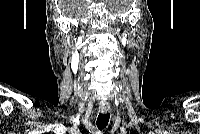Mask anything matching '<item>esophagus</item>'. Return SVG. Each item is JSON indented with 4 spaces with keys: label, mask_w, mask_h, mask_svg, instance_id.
Here are the masks:
<instances>
[{
    "label": "esophagus",
    "mask_w": 200,
    "mask_h": 134,
    "mask_svg": "<svg viewBox=\"0 0 200 134\" xmlns=\"http://www.w3.org/2000/svg\"><path fill=\"white\" fill-rule=\"evenodd\" d=\"M99 110L102 112V113H107L109 110H110V105L108 103H102L100 104L99 106Z\"/></svg>",
    "instance_id": "obj_1"
}]
</instances>
